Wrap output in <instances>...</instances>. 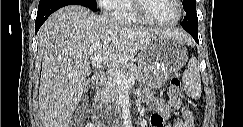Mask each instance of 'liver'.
Instances as JSON below:
<instances>
[{
    "label": "liver",
    "mask_w": 243,
    "mask_h": 127,
    "mask_svg": "<svg viewBox=\"0 0 243 127\" xmlns=\"http://www.w3.org/2000/svg\"><path fill=\"white\" fill-rule=\"evenodd\" d=\"M169 36L179 42L190 38L182 30H161L131 26L90 9L65 6L53 13L40 28L37 41L42 58L39 113L43 127H69L71 116L83 93L91 62L119 69L126 66L155 36Z\"/></svg>",
    "instance_id": "1"
}]
</instances>
